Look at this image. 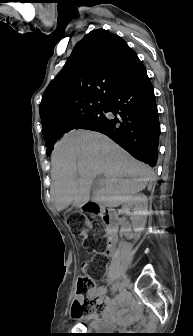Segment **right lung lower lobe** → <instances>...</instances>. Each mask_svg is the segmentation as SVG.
Listing matches in <instances>:
<instances>
[{
	"mask_svg": "<svg viewBox=\"0 0 193 336\" xmlns=\"http://www.w3.org/2000/svg\"><path fill=\"white\" fill-rule=\"evenodd\" d=\"M105 111L118 117L107 118L104 127L97 131L138 160L155 166L160 124L153 88L141 61L118 84Z\"/></svg>",
	"mask_w": 193,
	"mask_h": 336,
	"instance_id": "obj_1",
	"label": "right lung lower lobe"
}]
</instances>
